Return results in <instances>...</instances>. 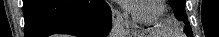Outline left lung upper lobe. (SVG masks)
Returning a JSON list of instances; mask_svg holds the SVG:
<instances>
[{"label": "left lung upper lobe", "mask_w": 219, "mask_h": 37, "mask_svg": "<svg viewBox=\"0 0 219 37\" xmlns=\"http://www.w3.org/2000/svg\"><path fill=\"white\" fill-rule=\"evenodd\" d=\"M170 5L172 6L175 16L178 20H182L185 23L184 32L187 36L192 35V30L188 22L187 14L185 11V0H169Z\"/></svg>", "instance_id": "1"}]
</instances>
